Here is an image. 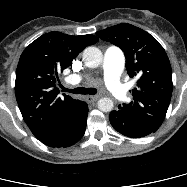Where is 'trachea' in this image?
Instances as JSON below:
<instances>
[{"mask_svg":"<svg viewBox=\"0 0 187 187\" xmlns=\"http://www.w3.org/2000/svg\"><path fill=\"white\" fill-rule=\"evenodd\" d=\"M61 88L65 92L74 93V94L95 95L97 93V90L95 88H84V87H79V88H75V89H68L65 87H61Z\"/></svg>","mask_w":187,"mask_h":187,"instance_id":"1","label":"trachea"}]
</instances>
